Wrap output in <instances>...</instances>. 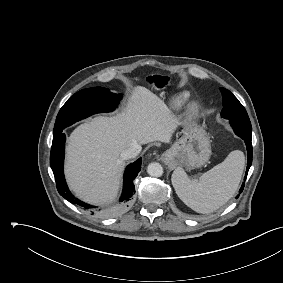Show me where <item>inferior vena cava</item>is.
Returning <instances> with one entry per match:
<instances>
[{"instance_id": "1", "label": "inferior vena cava", "mask_w": 283, "mask_h": 283, "mask_svg": "<svg viewBox=\"0 0 283 283\" xmlns=\"http://www.w3.org/2000/svg\"><path fill=\"white\" fill-rule=\"evenodd\" d=\"M141 152V145L139 144H132L126 150L121 153V157L124 160L134 158Z\"/></svg>"}]
</instances>
